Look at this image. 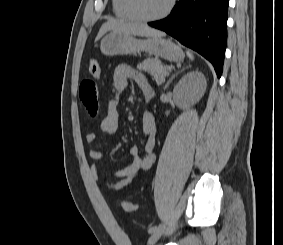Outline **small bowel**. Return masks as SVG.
<instances>
[{
	"label": "small bowel",
	"mask_w": 283,
	"mask_h": 245,
	"mask_svg": "<svg viewBox=\"0 0 283 245\" xmlns=\"http://www.w3.org/2000/svg\"><path fill=\"white\" fill-rule=\"evenodd\" d=\"M130 81H134L140 88L146 101H150L154 96V90L147 78L139 71L127 64L118 65L113 73V87L116 90V96L111 99L106 109V115L101 121V130L107 135H115L119 129V96L125 90ZM80 100L92 117L96 116L99 109L98 89L96 81L92 78H86L82 81L79 88ZM143 138L140 146H132L129 149L131 163L125 168L115 173L116 181L107 178H100L96 163L90 167V179L94 182L100 181L110 189H122L130 185L137 177L140 171L148 170L155 162L154 147L157 134V126L153 115L145 112L142 118ZM97 139L94 132L86 135V141L93 143ZM104 155L103 150L91 149L89 156L96 162Z\"/></svg>",
	"instance_id": "1"
}]
</instances>
